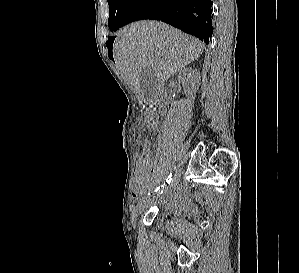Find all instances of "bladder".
Listing matches in <instances>:
<instances>
[{"instance_id":"obj_1","label":"bladder","mask_w":299,"mask_h":273,"mask_svg":"<svg viewBox=\"0 0 299 273\" xmlns=\"http://www.w3.org/2000/svg\"><path fill=\"white\" fill-rule=\"evenodd\" d=\"M160 216H161L162 220L164 221V223H166L168 225L174 224L179 219V215L174 210L169 209V208H165V209L161 210Z\"/></svg>"}]
</instances>
